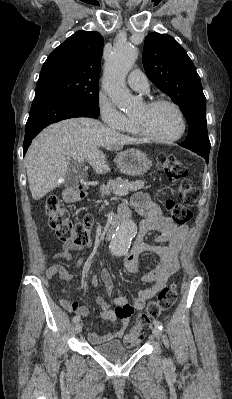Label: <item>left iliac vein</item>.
I'll return each instance as SVG.
<instances>
[{"instance_id": "left-iliac-vein-1", "label": "left iliac vein", "mask_w": 232, "mask_h": 399, "mask_svg": "<svg viewBox=\"0 0 232 399\" xmlns=\"http://www.w3.org/2000/svg\"><path fill=\"white\" fill-rule=\"evenodd\" d=\"M152 333H154V335L156 336L157 340L161 339L162 333H161V330H159V328L152 330Z\"/></svg>"}]
</instances>
